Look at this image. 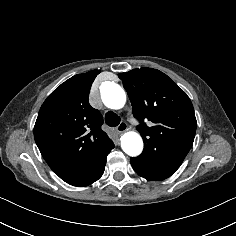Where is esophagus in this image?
I'll list each match as a JSON object with an SVG mask.
<instances>
[{"label":"esophagus","instance_id":"34e87169","mask_svg":"<svg viewBox=\"0 0 236 236\" xmlns=\"http://www.w3.org/2000/svg\"><path fill=\"white\" fill-rule=\"evenodd\" d=\"M116 130H117L119 133L125 132V131L127 130V124H126L125 122H121V123L117 126Z\"/></svg>","mask_w":236,"mask_h":236}]
</instances>
